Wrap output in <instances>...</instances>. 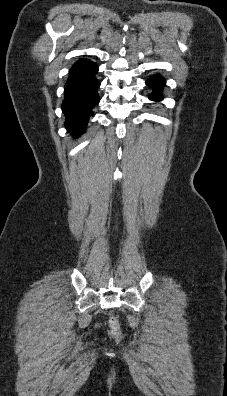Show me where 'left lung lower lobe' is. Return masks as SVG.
I'll list each match as a JSON object with an SVG mask.
<instances>
[{
    "label": "left lung lower lobe",
    "instance_id": "left-lung-lower-lobe-1",
    "mask_svg": "<svg viewBox=\"0 0 227 396\" xmlns=\"http://www.w3.org/2000/svg\"><path fill=\"white\" fill-rule=\"evenodd\" d=\"M146 84L154 89L153 94L150 95V99L154 101L161 100L162 96L160 94V90L165 84V79L162 78L161 76L156 75L148 79Z\"/></svg>",
    "mask_w": 227,
    "mask_h": 396
}]
</instances>
